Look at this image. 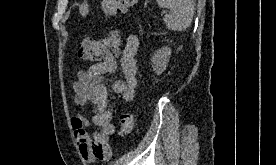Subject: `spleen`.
<instances>
[{
    "instance_id": "3e777b00",
    "label": "spleen",
    "mask_w": 276,
    "mask_h": 165,
    "mask_svg": "<svg viewBox=\"0 0 276 165\" xmlns=\"http://www.w3.org/2000/svg\"><path fill=\"white\" fill-rule=\"evenodd\" d=\"M162 8H168L169 14L163 18L168 29L173 31L186 30L194 16V0H156Z\"/></svg>"
}]
</instances>
